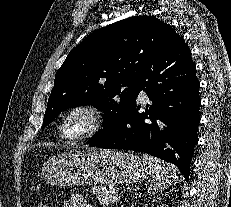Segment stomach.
Masks as SVG:
<instances>
[{
    "instance_id": "0dacf381",
    "label": "stomach",
    "mask_w": 231,
    "mask_h": 207,
    "mask_svg": "<svg viewBox=\"0 0 231 207\" xmlns=\"http://www.w3.org/2000/svg\"><path fill=\"white\" fill-rule=\"evenodd\" d=\"M147 174V163L139 156L108 149L60 154L46 164L43 173L53 186L138 183Z\"/></svg>"
}]
</instances>
